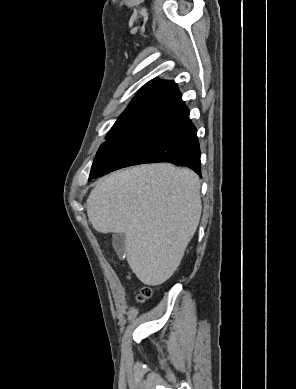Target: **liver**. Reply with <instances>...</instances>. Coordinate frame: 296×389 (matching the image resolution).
Here are the masks:
<instances>
[{
    "mask_svg": "<svg viewBox=\"0 0 296 389\" xmlns=\"http://www.w3.org/2000/svg\"><path fill=\"white\" fill-rule=\"evenodd\" d=\"M86 210L96 231L125 234L137 278L160 285L178 268L199 224L200 180L170 163L135 166L100 179Z\"/></svg>",
    "mask_w": 296,
    "mask_h": 389,
    "instance_id": "liver-1",
    "label": "liver"
}]
</instances>
